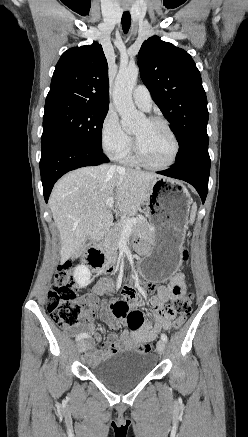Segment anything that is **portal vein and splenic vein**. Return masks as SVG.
<instances>
[{
    "instance_id": "obj_1",
    "label": "portal vein and splenic vein",
    "mask_w": 248,
    "mask_h": 437,
    "mask_svg": "<svg viewBox=\"0 0 248 437\" xmlns=\"http://www.w3.org/2000/svg\"><path fill=\"white\" fill-rule=\"evenodd\" d=\"M113 205H114V199L113 198H108L106 200V206L108 207V209H113ZM137 219L136 218H127L125 220H123L122 225L124 230H129L132 228L133 225L137 224Z\"/></svg>"
}]
</instances>
